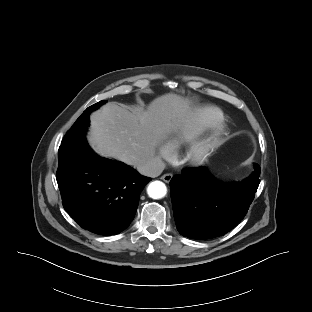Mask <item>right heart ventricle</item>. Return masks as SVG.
Here are the masks:
<instances>
[{
	"mask_svg": "<svg viewBox=\"0 0 312 312\" xmlns=\"http://www.w3.org/2000/svg\"><path fill=\"white\" fill-rule=\"evenodd\" d=\"M224 119V113L219 108L213 106L198 108L179 124L178 129L170 136V142L173 144L190 142L203 132L219 126Z\"/></svg>",
	"mask_w": 312,
	"mask_h": 312,
	"instance_id": "1",
	"label": "right heart ventricle"
}]
</instances>
